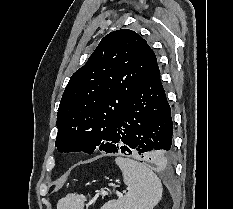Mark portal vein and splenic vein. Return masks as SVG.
Segmentation results:
<instances>
[{
    "instance_id": "obj_1",
    "label": "portal vein and splenic vein",
    "mask_w": 233,
    "mask_h": 209,
    "mask_svg": "<svg viewBox=\"0 0 233 209\" xmlns=\"http://www.w3.org/2000/svg\"><path fill=\"white\" fill-rule=\"evenodd\" d=\"M117 196H122V194L120 192H116Z\"/></svg>"
}]
</instances>
